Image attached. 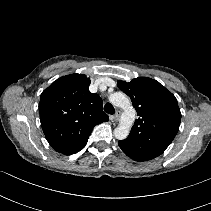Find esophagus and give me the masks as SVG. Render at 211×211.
Listing matches in <instances>:
<instances>
[{
  "instance_id": "obj_1",
  "label": "esophagus",
  "mask_w": 211,
  "mask_h": 211,
  "mask_svg": "<svg viewBox=\"0 0 211 211\" xmlns=\"http://www.w3.org/2000/svg\"><path fill=\"white\" fill-rule=\"evenodd\" d=\"M120 115H121V112L116 111V113L113 116H111V119L114 120V121H118L119 118H120Z\"/></svg>"
}]
</instances>
